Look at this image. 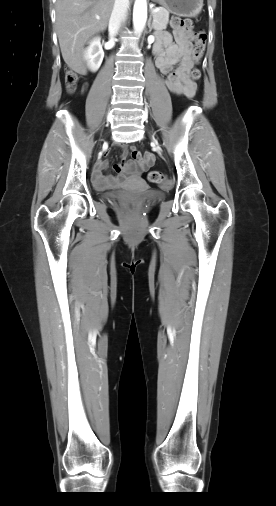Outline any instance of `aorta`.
<instances>
[{
    "mask_svg": "<svg viewBox=\"0 0 276 506\" xmlns=\"http://www.w3.org/2000/svg\"><path fill=\"white\" fill-rule=\"evenodd\" d=\"M147 20V0H135L133 9V27L136 34L141 35Z\"/></svg>",
    "mask_w": 276,
    "mask_h": 506,
    "instance_id": "762f6f07",
    "label": "aorta"
}]
</instances>
